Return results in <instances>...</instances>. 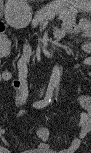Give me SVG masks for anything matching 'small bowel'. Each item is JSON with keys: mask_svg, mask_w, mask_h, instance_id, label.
Wrapping results in <instances>:
<instances>
[{"mask_svg": "<svg viewBox=\"0 0 91 153\" xmlns=\"http://www.w3.org/2000/svg\"><path fill=\"white\" fill-rule=\"evenodd\" d=\"M9 53V47L3 46L1 48V55L3 57H7ZM3 78L5 80H9L11 75L9 73H3ZM12 86L15 89V93L13 96V103L16 106L22 105L28 95V87H27V59L22 57L19 59L17 63V77L12 80ZM79 105L83 110L84 117L80 123L78 136L71 142V144L63 149L62 153H74L76 152L79 147L81 146L84 138L91 130V122L88 117V111L91 107V100L88 95L83 94L78 99ZM3 134V132H2ZM37 136L41 140V142L37 145V147L33 150V152L39 153H49L52 152L50 146L46 143L49 133L46 129H39L37 131ZM3 152H8L6 148H2Z\"/></svg>", "mask_w": 91, "mask_h": 153, "instance_id": "c3829d8e", "label": "small bowel"}]
</instances>
